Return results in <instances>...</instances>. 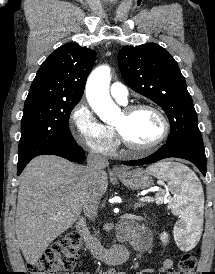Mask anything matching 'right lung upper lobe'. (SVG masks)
Masks as SVG:
<instances>
[{
  "label": "right lung upper lobe",
  "instance_id": "cb5924a9",
  "mask_svg": "<svg viewBox=\"0 0 215 274\" xmlns=\"http://www.w3.org/2000/svg\"><path fill=\"white\" fill-rule=\"evenodd\" d=\"M96 57L90 48L64 44L42 63L25 102L65 101L78 103Z\"/></svg>",
  "mask_w": 215,
  "mask_h": 274
}]
</instances>
